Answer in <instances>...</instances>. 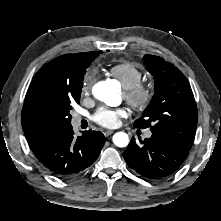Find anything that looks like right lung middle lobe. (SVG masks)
<instances>
[{
    "label": "right lung middle lobe",
    "instance_id": "1",
    "mask_svg": "<svg viewBox=\"0 0 221 221\" xmlns=\"http://www.w3.org/2000/svg\"><path fill=\"white\" fill-rule=\"evenodd\" d=\"M98 56L91 57L87 63L86 68L91 64V62ZM86 71H84L85 74ZM81 95V90L69 93H63L58 96H54L49 99L45 106V113L54 121L69 126L71 125V115L70 110L72 109V104L79 103Z\"/></svg>",
    "mask_w": 221,
    "mask_h": 221
}]
</instances>
